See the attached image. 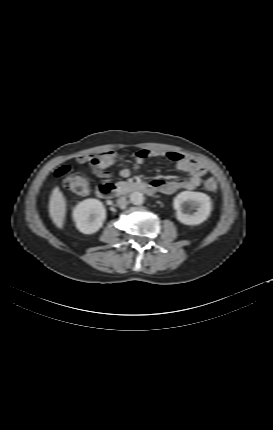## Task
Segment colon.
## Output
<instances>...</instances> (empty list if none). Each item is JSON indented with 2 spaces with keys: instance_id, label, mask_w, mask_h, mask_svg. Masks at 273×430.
<instances>
[{
  "instance_id": "colon-1",
  "label": "colon",
  "mask_w": 273,
  "mask_h": 430,
  "mask_svg": "<svg viewBox=\"0 0 273 430\" xmlns=\"http://www.w3.org/2000/svg\"><path fill=\"white\" fill-rule=\"evenodd\" d=\"M56 177L62 179L64 187L76 194H85L88 190V181L85 176L73 173L68 165L59 167L56 170ZM204 187L209 192H215L218 188L217 182L213 178L205 181Z\"/></svg>"
}]
</instances>
